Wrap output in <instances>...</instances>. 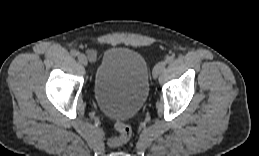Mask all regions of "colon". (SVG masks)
<instances>
[{"label": "colon", "mask_w": 259, "mask_h": 156, "mask_svg": "<svg viewBox=\"0 0 259 156\" xmlns=\"http://www.w3.org/2000/svg\"><path fill=\"white\" fill-rule=\"evenodd\" d=\"M114 128L117 131V135L110 140L111 146H119L130 140L132 130L129 125L121 121H116L114 123Z\"/></svg>", "instance_id": "obj_1"}]
</instances>
